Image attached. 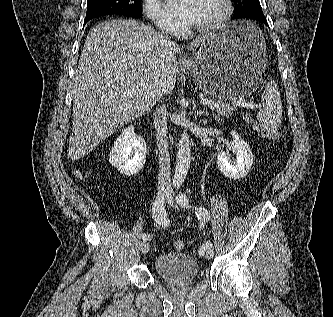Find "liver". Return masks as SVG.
<instances>
[{
    "label": "liver",
    "mask_w": 333,
    "mask_h": 317,
    "mask_svg": "<svg viewBox=\"0 0 333 317\" xmlns=\"http://www.w3.org/2000/svg\"><path fill=\"white\" fill-rule=\"evenodd\" d=\"M205 37L187 49L196 50ZM182 49L150 26L112 19L87 35L73 77L72 161L86 156L124 124L145 115L175 86Z\"/></svg>",
    "instance_id": "1"
}]
</instances>
